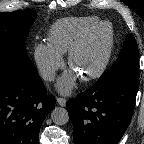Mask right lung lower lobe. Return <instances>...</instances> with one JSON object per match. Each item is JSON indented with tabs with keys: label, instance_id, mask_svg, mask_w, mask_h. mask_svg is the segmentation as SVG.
<instances>
[{
	"label": "right lung lower lobe",
	"instance_id": "right-lung-lower-lobe-1",
	"mask_svg": "<svg viewBox=\"0 0 144 144\" xmlns=\"http://www.w3.org/2000/svg\"><path fill=\"white\" fill-rule=\"evenodd\" d=\"M55 107L40 77L0 74V144H39L40 127Z\"/></svg>",
	"mask_w": 144,
	"mask_h": 144
}]
</instances>
